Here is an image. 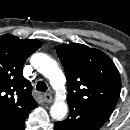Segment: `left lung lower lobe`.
<instances>
[{
	"label": "left lung lower lobe",
	"mask_w": 130,
	"mask_h": 130,
	"mask_svg": "<svg viewBox=\"0 0 130 130\" xmlns=\"http://www.w3.org/2000/svg\"><path fill=\"white\" fill-rule=\"evenodd\" d=\"M67 119L54 124L55 130H98L109 118L105 114L83 105H69Z\"/></svg>",
	"instance_id": "1"
}]
</instances>
